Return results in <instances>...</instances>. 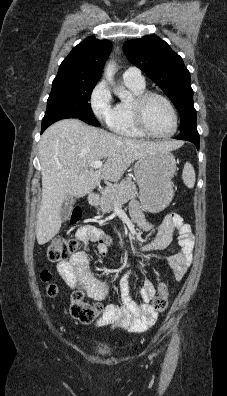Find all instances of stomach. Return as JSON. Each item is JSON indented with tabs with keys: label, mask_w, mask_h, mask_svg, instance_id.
Here are the masks:
<instances>
[{
	"label": "stomach",
	"mask_w": 227,
	"mask_h": 396,
	"mask_svg": "<svg viewBox=\"0 0 227 396\" xmlns=\"http://www.w3.org/2000/svg\"><path fill=\"white\" fill-rule=\"evenodd\" d=\"M176 160L169 151L154 150L141 156L134 166L142 207L151 213L164 210L173 198L172 178Z\"/></svg>",
	"instance_id": "1"
}]
</instances>
